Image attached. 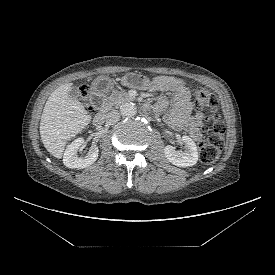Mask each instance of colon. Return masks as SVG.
Returning <instances> with one entry per match:
<instances>
[{
  "mask_svg": "<svg viewBox=\"0 0 275 275\" xmlns=\"http://www.w3.org/2000/svg\"><path fill=\"white\" fill-rule=\"evenodd\" d=\"M82 101L89 110L93 105L90 101L89 92L83 88L80 92ZM195 108L207 113L204 127L206 139L199 145V156L203 163L210 164L218 160L224 144V124L217 111V98L207 89L197 88L194 94Z\"/></svg>",
  "mask_w": 275,
  "mask_h": 275,
  "instance_id": "obj_1",
  "label": "colon"
}]
</instances>
